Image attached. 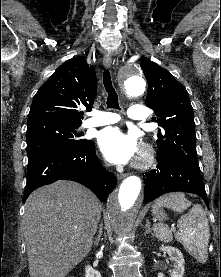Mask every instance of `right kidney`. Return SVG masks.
I'll return each instance as SVG.
<instances>
[{
  "instance_id": "1",
  "label": "right kidney",
  "mask_w": 221,
  "mask_h": 277,
  "mask_svg": "<svg viewBox=\"0 0 221 277\" xmlns=\"http://www.w3.org/2000/svg\"><path fill=\"white\" fill-rule=\"evenodd\" d=\"M85 277H101V274L99 271L88 265L85 267Z\"/></svg>"
}]
</instances>
